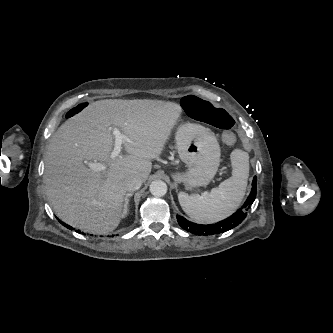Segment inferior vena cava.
Here are the masks:
<instances>
[{"instance_id": "inferior-vena-cava-1", "label": "inferior vena cava", "mask_w": 333, "mask_h": 333, "mask_svg": "<svg viewBox=\"0 0 333 333\" xmlns=\"http://www.w3.org/2000/svg\"><path fill=\"white\" fill-rule=\"evenodd\" d=\"M141 185L142 181L137 177H128L124 182L125 189L129 192L138 190Z\"/></svg>"}]
</instances>
